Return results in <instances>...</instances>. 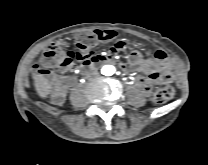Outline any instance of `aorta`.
<instances>
[{"label":"aorta","instance_id":"762f6f07","mask_svg":"<svg viewBox=\"0 0 208 165\" xmlns=\"http://www.w3.org/2000/svg\"><path fill=\"white\" fill-rule=\"evenodd\" d=\"M114 71H115L114 67L110 66L107 74L112 75L114 73Z\"/></svg>","mask_w":208,"mask_h":165}]
</instances>
